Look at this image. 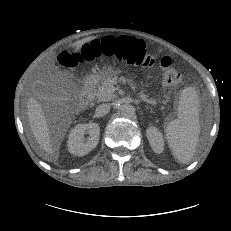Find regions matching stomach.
Wrapping results in <instances>:
<instances>
[{
	"label": "stomach",
	"mask_w": 231,
	"mask_h": 231,
	"mask_svg": "<svg viewBox=\"0 0 231 231\" xmlns=\"http://www.w3.org/2000/svg\"><path fill=\"white\" fill-rule=\"evenodd\" d=\"M106 72H97L96 70H93V74L91 75L94 80H99L103 77H105Z\"/></svg>",
	"instance_id": "1"
}]
</instances>
